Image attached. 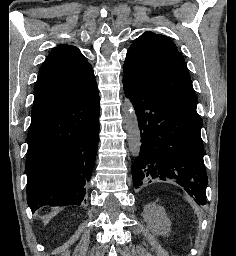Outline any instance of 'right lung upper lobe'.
Masks as SVG:
<instances>
[{
	"label": "right lung upper lobe",
	"instance_id": "obj_1",
	"mask_svg": "<svg viewBox=\"0 0 236 256\" xmlns=\"http://www.w3.org/2000/svg\"><path fill=\"white\" fill-rule=\"evenodd\" d=\"M95 83L93 69L79 49L66 44L55 47L38 74L32 120Z\"/></svg>",
	"mask_w": 236,
	"mask_h": 256
}]
</instances>
